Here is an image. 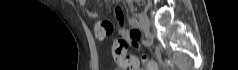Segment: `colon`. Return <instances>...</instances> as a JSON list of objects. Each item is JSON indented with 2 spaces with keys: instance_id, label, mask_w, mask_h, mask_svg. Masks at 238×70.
Segmentation results:
<instances>
[{
  "instance_id": "obj_1",
  "label": "colon",
  "mask_w": 238,
  "mask_h": 70,
  "mask_svg": "<svg viewBox=\"0 0 238 70\" xmlns=\"http://www.w3.org/2000/svg\"><path fill=\"white\" fill-rule=\"evenodd\" d=\"M140 37L137 30H132L130 33H122L121 36H115L112 39L113 59L124 70H137L139 61L136 57L126 54V44L137 45L136 40ZM134 44V45H133ZM147 70H157V65L154 62L144 61Z\"/></svg>"
}]
</instances>
